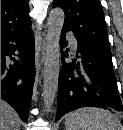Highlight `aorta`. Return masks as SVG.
Returning <instances> with one entry per match:
<instances>
[{
	"label": "aorta",
	"mask_w": 123,
	"mask_h": 130,
	"mask_svg": "<svg viewBox=\"0 0 123 130\" xmlns=\"http://www.w3.org/2000/svg\"><path fill=\"white\" fill-rule=\"evenodd\" d=\"M65 14L60 8L52 9L48 17V44L43 72V101L45 108L52 107L57 89L60 71V35Z\"/></svg>",
	"instance_id": "1"
}]
</instances>
